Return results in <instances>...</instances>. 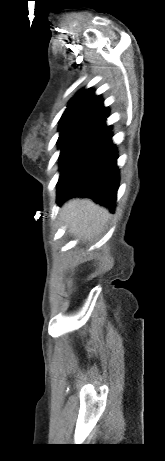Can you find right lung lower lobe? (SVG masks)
I'll list each match as a JSON object with an SVG mask.
<instances>
[{
  "mask_svg": "<svg viewBox=\"0 0 165 461\" xmlns=\"http://www.w3.org/2000/svg\"><path fill=\"white\" fill-rule=\"evenodd\" d=\"M111 129L105 126L60 175L57 184L59 205L73 196L90 197L114 211L119 170Z\"/></svg>",
  "mask_w": 165,
  "mask_h": 461,
  "instance_id": "98d812e1",
  "label": "right lung lower lobe"
}]
</instances>
